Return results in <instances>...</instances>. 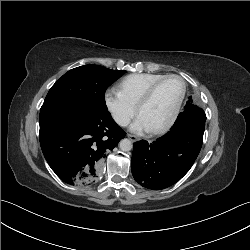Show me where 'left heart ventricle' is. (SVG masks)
Returning a JSON list of instances; mask_svg holds the SVG:
<instances>
[{
	"mask_svg": "<svg viewBox=\"0 0 250 250\" xmlns=\"http://www.w3.org/2000/svg\"><path fill=\"white\" fill-rule=\"evenodd\" d=\"M181 90L182 84L175 78L167 79L157 87L151 100L140 112L150 130L161 126L169 119Z\"/></svg>",
	"mask_w": 250,
	"mask_h": 250,
	"instance_id": "1",
	"label": "left heart ventricle"
}]
</instances>
